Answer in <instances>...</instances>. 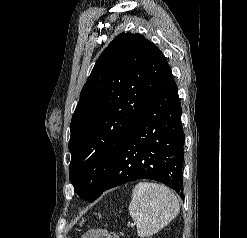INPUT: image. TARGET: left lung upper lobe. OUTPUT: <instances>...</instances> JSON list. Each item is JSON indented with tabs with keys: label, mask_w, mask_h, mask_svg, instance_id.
<instances>
[{
	"label": "left lung upper lobe",
	"mask_w": 247,
	"mask_h": 238,
	"mask_svg": "<svg viewBox=\"0 0 247 238\" xmlns=\"http://www.w3.org/2000/svg\"><path fill=\"white\" fill-rule=\"evenodd\" d=\"M167 64L152 42L132 33L116 36L99 56L70 125L69 178L83 200L99 197L119 147Z\"/></svg>",
	"instance_id": "obj_1"
}]
</instances>
